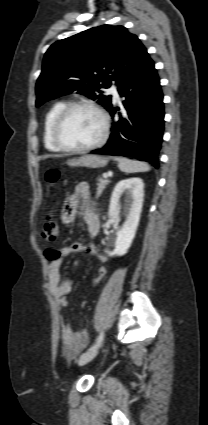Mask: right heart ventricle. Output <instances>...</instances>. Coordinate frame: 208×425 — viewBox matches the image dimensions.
Masks as SVG:
<instances>
[{"label":"right heart ventricle","instance_id":"1","mask_svg":"<svg viewBox=\"0 0 208 425\" xmlns=\"http://www.w3.org/2000/svg\"><path fill=\"white\" fill-rule=\"evenodd\" d=\"M65 103L62 101L55 102L48 112L45 115L44 124H43V141L45 147L54 152L61 151L52 140V126L53 123L59 114V112L63 109Z\"/></svg>","mask_w":208,"mask_h":425}]
</instances>
